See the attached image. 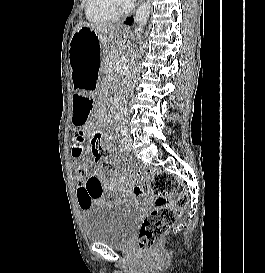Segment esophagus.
<instances>
[{"label": "esophagus", "instance_id": "esophagus-1", "mask_svg": "<svg viewBox=\"0 0 265 273\" xmlns=\"http://www.w3.org/2000/svg\"><path fill=\"white\" fill-rule=\"evenodd\" d=\"M140 2H142V0H138V4H139ZM138 4H137V5H138ZM133 23H134V16H132V15H130V16H128V17H125V18L122 20V22H121V24H122L123 26H126V27H130L131 25H133Z\"/></svg>", "mask_w": 265, "mask_h": 273}]
</instances>
